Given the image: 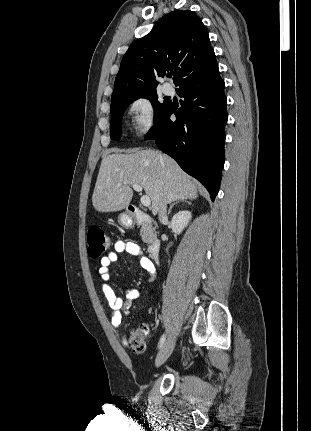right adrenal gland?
Returning <instances> with one entry per match:
<instances>
[{
	"instance_id": "2a0ac1e0",
	"label": "right adrenal gland",
	"mask_w": 311,
	"mask_h": 431,
	"mask_svg": "<svg viewBox=\"0 0 311 431\" xmlns=\"http://www.w3.org/2000/svg\"><path fill=\"white\" fill-rule=\"evenodd\" d=\"M181 202H185V204H187V206H191V202H186V200H177V202H174V204H172V206H170V208L168 210V216H169V214H171L172 208H174V206H177V204H181Z\"/></svg>"
}]
</instances>
